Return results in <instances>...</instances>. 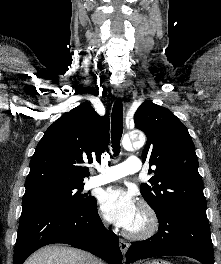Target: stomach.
<instances>
[{"label":"stomach","instance_id":"stomach-1","mask_svg":"<svg viewBox=\"0 0 221 264\" xmlns=\"http://www.w3.org/2000/svg\"><path fill=\"white\" fill-rule=\"evenodd\" d=\"M145 264H171V263L168 261L161 260V259H156V260L149 261Z\"/></svg>","mask_w":221,"mask_h":264}]
</instances>
